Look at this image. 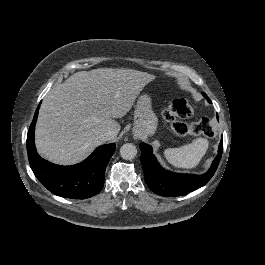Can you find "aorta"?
Returning a JSON list of instances; mask_svg holds the SVG:
<instances>
[{
	"label": "aorta",
	"instance_id": "1",
	"mask_svg": "<svg viewBox=\"0 0 265 265\" xmlns=\"http://www.w3.org/2000/svg\"><path fill=\"white\" fill-rule=\"evenodd\" d=\"M120 155L126 160H132L137 155V148L131 143H125L120 148Z\"/></svg>",
	"mask_w": 265,
	"mask_h": 265
}]
</instances>
